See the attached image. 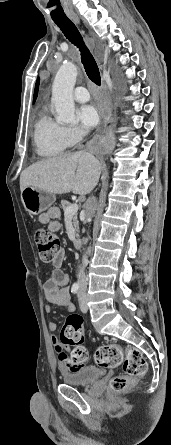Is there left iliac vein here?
<instances>
[{
  "instance_id": "obj_1",
  "label": "left iliac vein",
  "mask_w": 171,
  "mask_h": 445,
  "mask_svg": "<svg viewBox=\"0 0 171 445\" xmlns=\"http://www.w3.org/2000/svg\"><path fill=\"white\" fill-rule=\"evenodd\" d=\"M78 300H79V306H80L81 311L83 313H86L88 311V306H87V299H86L84 292L80 291L78 293Z\"/></svg>"
}]
</instances>
